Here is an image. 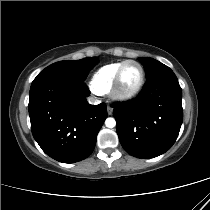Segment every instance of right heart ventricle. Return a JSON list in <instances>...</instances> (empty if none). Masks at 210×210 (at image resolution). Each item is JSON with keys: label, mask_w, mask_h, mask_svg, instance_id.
I'll use <instances>...</instances> for the list:
<instances>
[{"label": "right heart ventricle", "mask_w": 210, "mask_h": 210, "mask_svg": "<svg viewBox=\"0 0 210 210\" xmlns=\"http://www.w3.org/2000/svg\"><path fill=\"white\" fill-rule=\"evenodd\" d=\"M124 61L106 64L99 68L91 78V88L98 94H106L111 90L117 70Z\"/></svg>", "instance_id": "e07e8e85"}]
</instances>
